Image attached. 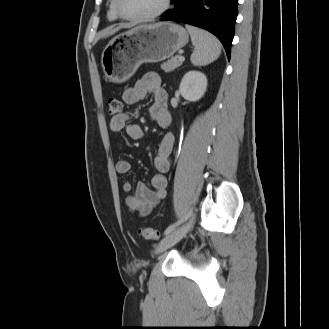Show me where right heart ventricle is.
<instances>
[{
  "label": "right heart ventricle",
  "mask_w": 329,
  "mask_h": 329,
  "mask_svg": "<svg viewBox=\"0 0 329 329\" xmlns=\"http://www.w3.org/2000/svg\"><path fill=\"white\" fill-rule=\"evenodd\" d=\"M108 17L111 20H117L119 18L116 10H115V0H110L109 8H108Z\"/></svg>",
  "instance_id": "e07e8e85"
}]
</instances>
